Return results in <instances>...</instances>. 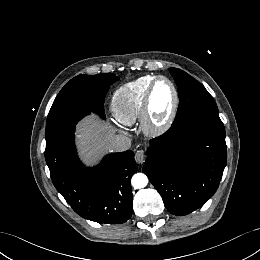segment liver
<instances>
[{"instance_id":"1","label":"liver","mask_w":260,"mask_h":260,"mask_svg":"<svg viewBox=\"0 0 260 260\" xmlns=\"http://www.w3.org/2000/svg\"><path fill=\"white\" fill-rule=\"evenodd\" d=\"M115 129L90 115L77 125V146L79 154L85 163H94L100 157L111 151V140Z\"/></svg>"}]
</instances>
